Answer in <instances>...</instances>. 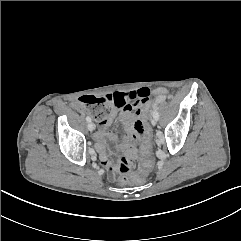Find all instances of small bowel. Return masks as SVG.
I'll list each match as a JSON object with an SVG mask.
<instances>
[{
    "label": "small bowel",
    "instance_id": "small-bowel-1",
    "mask_svg": "<svg viewBox=\"0 0 241 241\" xmlns=\"http://www.w3.org/2000/svg\"><path fill=\"white\" fill-rule=\"evenodd\" d=\"M154 93L157 96V100L160 101L167 94V90L158 89ZM109 96L115 101V105L111 115L106 120L100 122V130L95 134L94 140L101 162L105 166L109 178L114 179L117 168L108 159L104 129L111 125L114 116L119 110V115L125 126V137L127 139L125 145L126 155L130 158L135 157L137 155L135 142L142 139L143 121L141 119V107L144 103L142 101L150 99L151 89L148 86H139L137 90L116 92Z\"/></svg>",
    "mask_w": 241,
    "mask_h": 241
}]
</instances>
